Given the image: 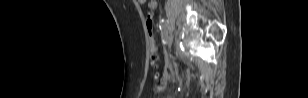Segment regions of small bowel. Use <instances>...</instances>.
Instances as JSON below:
<instances>
[{
    "label": "small bowel",
    "instance_id": "1",
    "mask_svg": "<svg viewBox=\"0 0 308 98\" xmlns=\"http://www.w3.org/2000/svg\"><path fill=\"white\" fill-rule=\"evenodd\" d=\"M139 3L150 10L155 9L157 6V2L155 0H139Z\"/></svg>",
    "mask_w": 308,
    "mask_h": 98
}]
</instances>
